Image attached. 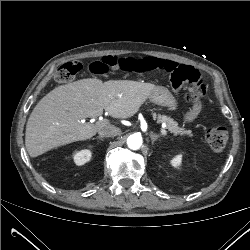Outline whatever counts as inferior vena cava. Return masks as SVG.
Here are the masks:
<instances>
[{
  "instance_id": "inferior-vena-cava-1",
  "label": "inferior vena cava",
  "mask_w": 250,
  "mask_h": 250,
  "mask_svg": "<svg viewBox=\"0 0 250 250\" xmlns=\"http://www.w3.org/2000/svg\"><path fill=\"white\" fill-rule=\"evenodd\" d=\"M98 134L100 137H114L120 134V129L117 127H108L99 130Z\"/></svg>"
}]
</instances>
